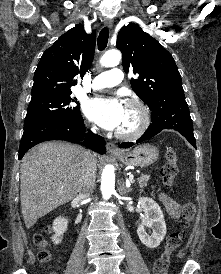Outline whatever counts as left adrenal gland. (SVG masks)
I'll list each match as a JSON object with an SVG mask.
<instances>
[{"label":"left adrenal gland","instance_id":"obj_1","mask_svg":"<svg viewBox=\"0 0 221 274\" xmlns=\"http://www.w3.org/2000/svg\"><path fill=\"white\" fill-rule=\"evenodd\" d=\"M132 191V188H127L124 184V182H121L120 183V187H119V192L121 194H126V193H129Z\"/></svg>","mask_w":221,"mask_h":274}]
</instances>
